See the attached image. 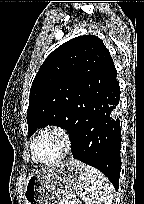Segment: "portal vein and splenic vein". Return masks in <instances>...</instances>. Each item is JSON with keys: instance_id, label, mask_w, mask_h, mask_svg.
Here are the masks:
<instances>
[{"instance_id": "obj_1", "label": "portal vein and splenic vein", "mask_w": 144, "mask_h": 204, "mask_svg": "<svg viewBox=\"0 0 144 204\" xmlns=\"http://www.w3.org/2000/svg\"><path fill=\"white\" fill-rule=\"evenodd\" d=\"M82 199H84V197H83ZM66 204H69V203H68V202H66Z\"/></svg>"}]
</instances>
